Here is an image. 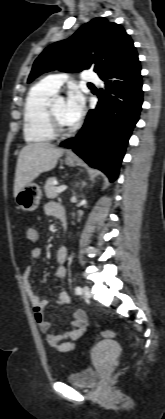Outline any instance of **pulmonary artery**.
<instances>
[{
	"label": "pulmonary artery",
	"mask_w": 165,
	"mask_h": 419,
	"mask_svg": "<svg viewBox=\"0 0 165 419\" xmlns=\"http://www.w3.org/2000/svg\"><path fill=\"white\" fill-rule=\"evenodd\" d=\"M68 78L67 75L62 73L51 74L45 77L41 82L53 92H57L58 89L63 85L65 80ZM81 80L84 82L89 83H96L100 82V79L96 73L92 70H86L81 74Z\"/></svg>",
	"instance_id": "e3ab8cb5"
}]
</instances>
